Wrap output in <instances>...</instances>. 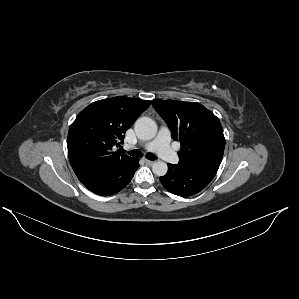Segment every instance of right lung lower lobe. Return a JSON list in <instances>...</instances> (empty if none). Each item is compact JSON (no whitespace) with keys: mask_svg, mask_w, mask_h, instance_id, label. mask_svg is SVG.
<instances>
[{"mask_svg":"<svg viewBox=\"0 0 299 299\" xmlns=\"http://www.w3.org/2000/svg\"><path fill=\"white\" fill-rule=\"evenodd\" d=\"M138 167L139 159L133 158L127 162L99 167L77 177L93 193L109 196L128 185Z\"/></svg>","mask_w":299,"mask_h":299,"instance_id":"1","label":"right lung lower lobe"}]
</instances>
